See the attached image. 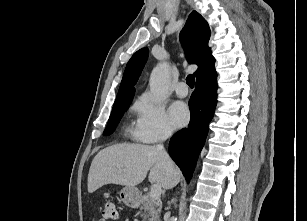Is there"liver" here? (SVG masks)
I'll list each match as a JSON object with an SVG mask.
<instances>
[{
  "label": "liver",
  "instance_id": "1",
  "mask_svg": "<svg viewBox=\"0 0 307 221\" xmlns=\"http://www.w3.org/2000/svg\"><path fill=\"white\" fill-rule=\"evenodd\" d=\"M150 171L148 180L163 189L176 186L181 173L172 162L168 165L163 153L154 145L115 144L99 151L88 174V192L93 193L105 184L135 187Z\"/></svg>",
  "mask_w": 307,
  "mask_h": 221
}]
</instances>
